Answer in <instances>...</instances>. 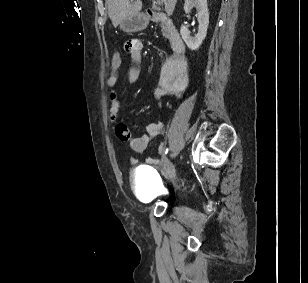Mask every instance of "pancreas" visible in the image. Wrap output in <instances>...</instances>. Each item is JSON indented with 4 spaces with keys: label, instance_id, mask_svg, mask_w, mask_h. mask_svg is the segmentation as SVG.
I'll return each mask as SVG.
<instances>
[{
    "label": "pancreas",
    "instance_id": "pancreas-1",
    "mask_svg": "<svg viewBox=\"0 0 308 283\" xmlns=\"http://www.w3.org/2000/svg\"><path fill=\"white\" fill-rule=\"evenodd\" d=\"M161 27H162V32H163V35L165 37H168V33H167V27L164 23L161 24Z\"/></svg>",
    "mask_w": 308,
    "mask_h": 283
}]
</instances>
